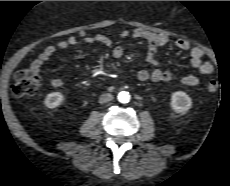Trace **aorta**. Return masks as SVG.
I'll use <instances>...</instances> for the list:
<instances>
[{
	"mask_svg": "<svg viewBox=\"0 0 230 186\" xmlns=\"http://www.w3.org/2000/svg\"><path fill=\"white\" fill-rule=\"evenodd\" d=\"M117 98L120 103H128L130 101V94L127 91H121L118 93Z\"/></svg>",
	"mask_w": 230,
	"mask_h": 186,
	"instance_id": "aorta-1",
	"label": "aorta"
}]
</instances>
